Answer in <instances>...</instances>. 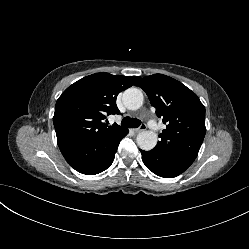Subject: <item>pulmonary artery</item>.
<instances>
[{"label":"pulmonary artery","mask_w":249,"mask_h":249,"mask_svg":"<svg viewBox=\"0 0 249 249\" xmlns=\"http://www.w3.org/2000/svg\"><path fill=\"white\" fill-rule=\"evenodd\" d=\"M152 129H155V127H154V126H152Z\"/></svg>","instance_id":"obj_1"}]
</instances>
